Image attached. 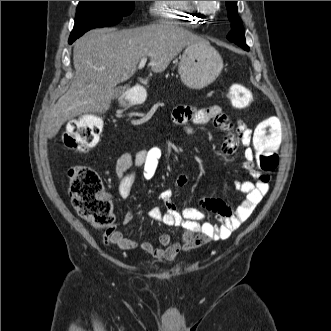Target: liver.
I'll list each match as a JSON object with an SVG mask.
<instances>
[{
	"label": "liver",
	"mask_w": 331,
	"mask_h": 331,
	"mask_svg": "<svg viewBox=\"0 0 331 331\" xmlns=\"http://www.w3.org/2000/svg\"><path fill=\"white\" fill-rule=\"evenodd\" d=\"M198 41L203 39L166 21L87 32L74 43L71 86L45 116L46 137H55L67 120L78 115L109 110L115 86L135 74L142 58L149 56L152 71L161 73L183 48Z\"/></svg>",
	"instance_id": "liver-1"
}]
</instances>
